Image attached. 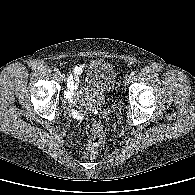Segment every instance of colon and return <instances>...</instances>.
Here are the masks:
<instances>
[{
    "instance_id": "1",
    "label": "colon",
    "mask_w": 195,
    "mask_h": 195,
    "mask_svg": "<svg viewBox=\"0 0 195 195\" xmlns=\"http://www.w3.org/2000/svg\"><path fill=\"white\" fill-rule=\"evenodd\" d=\"M90 131L91 136L85 150V156L87 158H95L98 154V148L102 141V125L98 121L92 120L90 123Z\"/></svg>"
}]
</instances>
